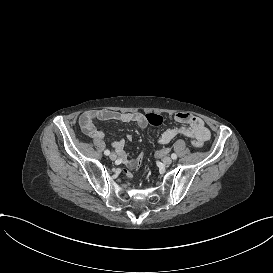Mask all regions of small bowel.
Listing matches in <instances>:
<instances>
[{"mask_svg": "<svg viewBox=\"0 0 273 273\" xmlns=\"http://www.w3.org/2000/svg\"><path fill=\"white\" fill-rule=\"evenodd\" d=\"M174 120L181 125L165 129L158 139V143L160 145H166L176 137L184 136L189 138L195 147H202L203 144L211 137L210 130L207 128L205 122L199 117L193 116L189 113L180 112L175 114ZM97 121L134 123L140 129H145L148 125L145 115L141 112H120L106 109L86 112L80 117V127L85 135L98 142H102L105 139V134L97 128ZM127 139L131 140L132 137L129 135ZM111 145L117 151L120 160L129 169H135L134 157H129L124 150L125 140H114L111 142ZM169 155L170 152L168 150H164L159 154L155 153L153 158L158 160L159 158L163 159ZM127 179L131 180L132 176L128 175Z\"/></svg>", "mask_w": 273, "mask_h": 273, "instance_id": "obj_1", "label": "small bowel"}]
</instances>
